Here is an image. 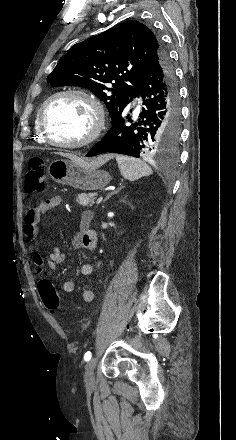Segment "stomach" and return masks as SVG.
Wrapping results in <instances>:
<instances>
[{"mask_svg": "<svg viewBox=\"0 0 236 440\" xmlns=\"http://www.w3.org/2000/svg\"><path fill=\"white\" fill-rule=\"evenodd\" d=\"M48 173L56 183L85 191L102 189L111 180L108 172L83 165L72 159L52 161L48 167Z\"/></svg>", "mask_w": 236, "mask_h": 440, "instance_id": "0dacf381", "label": "stomach"}]
</instances>
